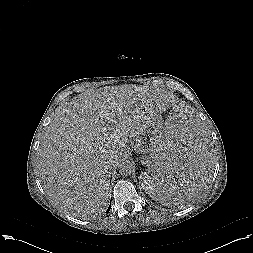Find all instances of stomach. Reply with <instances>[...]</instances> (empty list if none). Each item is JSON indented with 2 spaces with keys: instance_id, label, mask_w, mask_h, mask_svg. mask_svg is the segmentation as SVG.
<instances>
[{
  "instance_id": "1",
  "label": "stomach",
  "mask_w": 253,
  "mask_h": 253,
  "mask_svg": "<svg viewBox=\"0 0 253 253\" xmlns=\"http://www.w3.org/2000/svg\"><path fill=\"white\" fill-rule=\"evenodd\" d=\"M164 121L161 117L155 118L151 123H149L146 129L138 135L135 140L132 142V148L144 155V161L149 153L152 151V146L155 139L162 133Z\"/></svg>"
}]
</instances>
